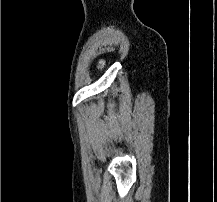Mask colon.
<instances>
[{"label":"colon","instance_id":"obj_1","mask_svg":"<svg viewBox=\"0 0 217 202\" xmlns=\"http://www.w3.org/2000/svg\"><path fill=\"white\" fill-rule=\"evenodd\" d=\"M104 66H105L104 60L103 59H99L98 62H97V68L99 70H102V69H104Z\"/></svg>","mask_w":217,"mask_h":202}]
</instances>
